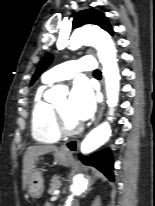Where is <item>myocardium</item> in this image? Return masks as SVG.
I'll list each match as a JSON object with an SVG mask.
<instances>
[{"mask_svg": "<svg viewBox=\"0 0 155 206\" xmlns=\"http://www.w3.org/2000/svg\"><path fill=\"white\" fill-rule=\"evenodd\" d=\"M52 111H53L55 125L58 131L60 132V134L75 135L81 132L82 125L79 123L74 125L67 123L55 105H52Z\"/></svg>", "mask_w": 155, "mask_h": 206, "instance_id": "myocardium-1", "label": "myocardium"}]
</instances>
